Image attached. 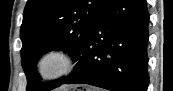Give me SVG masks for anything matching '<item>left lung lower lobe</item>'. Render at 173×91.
Masks as SVG:
<instances>
[{"instance_id":"left-lung-lower-lobe-1","label":"left lung lower lobe","mask_w":173,"mask_h":91,"mask_svg":"<svg viewBox=\"0 0 173 91\" xmlns=\"http://www.w3.org/2000/svg\"><path fill=\"white\" fill-rule=\"evenodd\" d=\"M148 25L145 0H109L74 71L52 89L84 83L111 91H147Z\"/></svg>"}]
</instances>
